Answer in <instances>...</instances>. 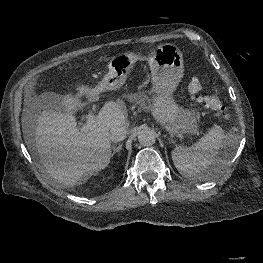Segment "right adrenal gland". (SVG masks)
Instances as JSON below:
<instances>
[{"mask_svg": "<svg viewBox=\"0 0 263 263\" xmlns=\"http://www.w3.org/2000/svg\"><path fill=\"white\" fill-rule=\"evenodd\" d=\"M122 148V144H119L117 147L115 145L112 146V154L111 157H113L116 153H120V149Z\"/></svg>", "mask_w": 263, "mask_h": 263, "instance_id": "1", "label": "right adrenal gland"}]
</instances>
